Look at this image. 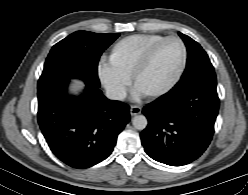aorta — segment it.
I'll return each mask as SVG.
<instances>
[{"mask_svg":"<svg viewBox=\"0 0 248 195\" xmlns=\"http://www.w3.org/2000/svg\"><path fill=\"white\" fill-rule=\"evenodd\" d=\"M147 118L144 115H136L132 119V125L137 130H144L147 126Z\"/></svg>","mask_w":248,"mask_h":195,"instance_id":"aorta-1","label":"aorta"}]
</instances>
